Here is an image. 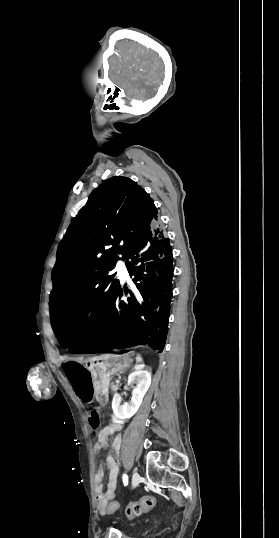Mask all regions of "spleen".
Masks as SVG:
<instances>
[{
  "label": "spleen",
  "instance_id": "obj_1",
  "mask_svg": "<svg viewBox=\"0 0 279 538\" xmlns=\"http://www.w3.org/2000/svg\"><path fill=\"white\" fill-rule=\"evenodd\" d=\"M136 362H138V364H142V362H143V358H141L140 354H137V356H136Z\"/></svg>",
  "mask_w": 279,
  "mask_h": 538
}]
</instances>
